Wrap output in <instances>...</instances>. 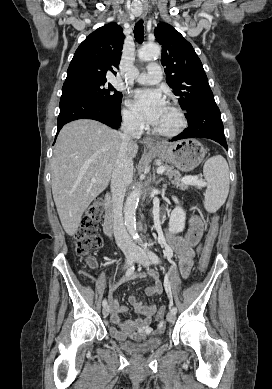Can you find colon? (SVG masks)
Wrapping results in <instances>:
<instances>
[{"instance_id": "5ec220e1", "label": "colon", "mask_w": 272, "mask_h": 389, "mask_svg": "<svg viewBox=\"0 0 272 389\" xmlns=\"http://www.w3.org/2000/svg\"><path fill=\"white\" fill-rule=\"evenodd\" d=\"M103 214V205L97 201L90 205L85 212L79 229L75 234V252L78 256H87L102 247L103 241L97 232L98 223ZM219 217L214 215L212 217L209 231L206 236L203 253L200 260L199 269L204 272L209 264L212 249L218 235ZM166 307L161 306L156 314V320L161 324L164 321Z\"/></svg>"}]
</instances>
